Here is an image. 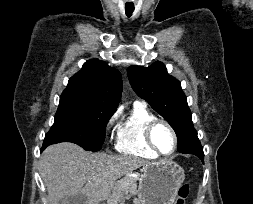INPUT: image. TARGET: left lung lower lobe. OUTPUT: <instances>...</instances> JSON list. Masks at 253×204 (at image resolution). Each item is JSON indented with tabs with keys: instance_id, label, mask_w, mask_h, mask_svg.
<instances>
[{
	"instance_id": "0a47b994",
	"label": "left lung lower lobe",
	"mask_w": 253,
	"mask_h": 204,
	"mask_svg": "<svg viewBox=\"0 0 253 204\" xmlns=\"http://www.w3.org/2000/svg\"><path fill=\"white\" fill-rule=\"evenodd\" d=\"M180 153L194 154L197 157H199L201 159V161L204 163L203 148H202L200 141L197 137V132H195V134L193 135L192 145L190 146V148L182 150V151H180Z\"/></svg>"
}]
</instances>
